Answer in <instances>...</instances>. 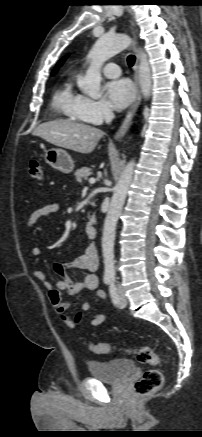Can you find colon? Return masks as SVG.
Returning a JSON list of instances; mask_svg holds the SVG:
<instances>
[{"label": "colon", "instance_id": "colon-1", "mask_svg": "<svg viewBox=\"0 0 202 437\" xmlns=\"http://www.w3.org/2000/svg\"><path fill=\"white\" fill-rule=\"evenodd\" d=\"M29 176L35 180L43 179V165L38 160H32L28 168ZM89 348L96 354H108L114 347L110 343H96L89 344ZM129 352L133 353L139 363L157 365L159 363V357L155 351L149 346H140L133 349H129ZM163 374L157 369L147 370L142 378L137 381L133 388V395L135 397H141L149 395L163 385Z\"/></svg>", "mask_w": 202, "mask_h": 437}]
</instances>
